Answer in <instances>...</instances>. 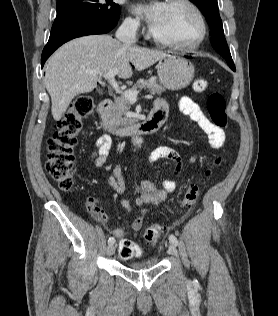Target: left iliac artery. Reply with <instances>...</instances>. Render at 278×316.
I'll return each mask as SVG.
<instances>
[{"label":"left iliac artery","mask_w":278,"mask_h":316,"mask_svg":"<svg viewBox=\"0 0 278 316\" xmlns=\"http://www.w3.org/2000/svg\"><path fill=\"white\" fill-rule=\"evenodd\" d=\"M169 241L174 245H178V240L173 234L169 235Z\"/></svg>","instance_id":"44dca946"}]
</instances>
